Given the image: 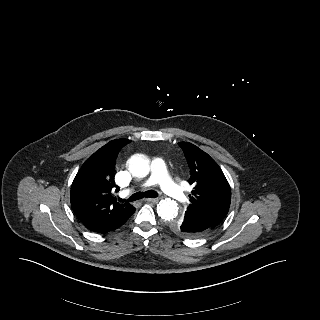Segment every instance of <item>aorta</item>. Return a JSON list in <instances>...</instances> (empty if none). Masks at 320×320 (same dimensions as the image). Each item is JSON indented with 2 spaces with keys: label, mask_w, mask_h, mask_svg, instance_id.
<instances>
[{
  "label": "aorta",
  "mask_w": 320,
  "mask_h": 320,
  "mask_svg": "<svg viewBox=\"0 0 320 320\" xmlns=\"http://www.w3.org/2000/svg\"><path fill=\"white\" fill-rule=\"evenodd\" d=\"M127 166L131 174L137 178L146 177L150 171L149 160L142 154L132 155L127 161ZM157 213L163 220L173 222L178 214V204L171 199L161 200L157 205Z\"/></svg>",
  "instance_id": "obj_1"
}]
</instances>
